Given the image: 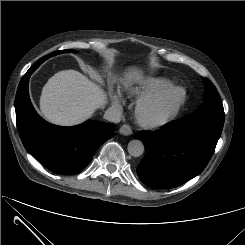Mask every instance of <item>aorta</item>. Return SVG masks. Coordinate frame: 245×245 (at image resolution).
I'll use <instances>...</instances> for the list:
<instances>
[{"label": "aorta", "mask_w": 245, "mask_h": 245, "mask_svg": "<svg viewBox=\"0 0 245 245\" xmlns=\"http://www.w3.org/2000/svg\"><path fill=\"white\" fill-rule=\"evenodd\" d=\"M128 153L133 157H139L144 152V144L140 140H131L128 143Z\"/></svg>", "instance_id": "762f6f07"}]
</instances>
